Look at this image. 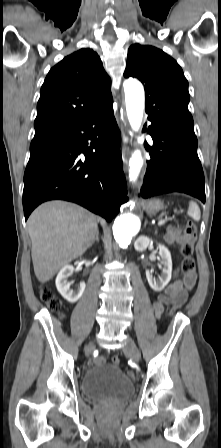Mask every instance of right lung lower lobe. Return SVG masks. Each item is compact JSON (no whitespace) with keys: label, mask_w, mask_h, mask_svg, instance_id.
<instances>
[{"label":"right lung lower lobe","mask_w":221,"mask_h":448,"mask_svg":"<svg viewBox=\"0 0 221 448\" xmlns=\"http://www.w3.org/2000/svg\"><path fill=\"white\" fill-rule=\"evenodd\" d=\"M113 101L39 137L24 174L25 220L44 201L78 203L110 221L127 198Z\"/></svg>","instance_id":"obj_1"}]
</instances>
